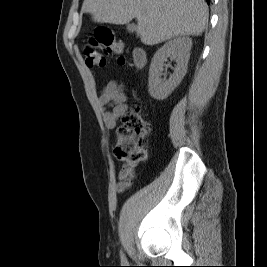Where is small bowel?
<instances>
[{
	"mask_svg": "<svg viewBox=\"0 0 267 267\" xmlns=\"http://www.w3.org/2000/svg\"><path fill=\"white\" fill-rule=\"evenodd\" d=\"M127 94L122 84L110 81L99 96V105L103 111V120L106 128L114 129L118 120L128 110ZM133 169L124 165L117 174V192L125 191L131 185Z\"/></svg>",
	"mask_w": 267,
	"mask_h": 267,
	"instance_id": "small-bowel-1",
	"label": "small bowel"
}]
</instances>
